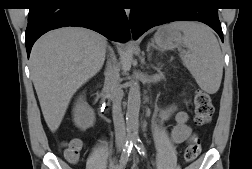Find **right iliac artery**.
<instances>
[{"label": "right iliac artery", "instance_id": "1", "mask_svg": "<svg viewBox=\"0 0 252 169\" xmlns=\"http://www.w3.org/2000/svg\"><path fill=\"white\" fill-rule=\"evenodd\" d=\"M133 143H134L133 140H127L126 141V143L124 145V148H123V151H122V154H121V159H120L121 166H120V169H122L123 166L127 163L128 158H129L130 153H131V150L133 148Z\"/></svg>", "mask_w": 252, "mask_h": 169}]
</instances>
